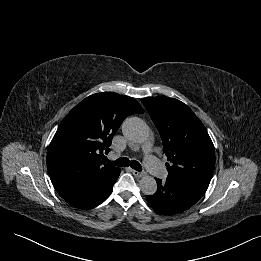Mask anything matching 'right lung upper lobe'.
<instances>
[{"label":"right lung upper lobe","mask_w":261,"mask_h":261,"mask_svg":"<svg viewBox=\"0 0 261 261\" xmlns=\"http://www.w3.org/2000/svg\"><path fill=\"white\" fill-rule=\"evenodd\" d=\"M143 112L135 99L103 92L85 98L67 114L47 153L50 179L64 199L93 190L119 170L101 157L110 151L123 120Z\"/></svg>","instance_id":"cb5924a9"}]
</instances>
